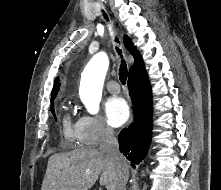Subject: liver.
<instances>
[{
  "instance_id": "1",
  "label": "liver",
  "mask_w": 221,
  "mask_h": 190,
  "mask_svg": "<svg viewBox=\"0 0 221 190\" xmlns=\"http://www.w3.org/2000/svg\"><path fill=\"white\" fill-rule=\"evenodd\" d=\"M99 175L100 185L107 190H117V168L97 149L80 148L54 154L48 160L41 190H88Z\"/></svg>"
}]
</instances>
